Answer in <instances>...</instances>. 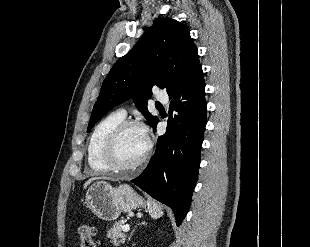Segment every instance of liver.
Wrapping results in <instances>:
<instances>
[{
	"mask_svg": "<svg viewBox=\"0 0 310 247\" xmlns=\"http://www.w3.org/2000/svg\"><path fill=\"white\" fill-rule=\"evenodd\" d=\"M99 179H105L104 177H94V178H90L89 180H87L84 184V188L87 187V185H89L91 182L95 181V180H99Z\"/></svg>",
	"mask_w": 310,
	"mask_h": 247,
	"instance_id": "1",
	"label": "liver"
}]
</instances>
